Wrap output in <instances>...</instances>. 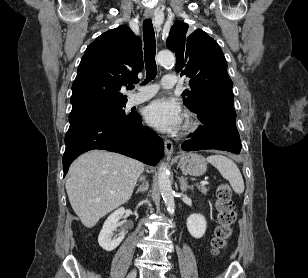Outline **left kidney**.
<instances>
[{"instance_id": "5707ae66", "label": "left kidney", "mask_w": 308, "mask_h": 278, "mask_svg": "<svg viewBox=\"0 0 308 278\" xmlns=\"http://www.w3.org/2000/svg\"><path fill=\"white\" fill-rule=\"evenodd\" d=\"M187 229L192 237L201 238L205 234L207 223L201 214H192L187 218Z\"/></svg>"}]
</instances>
